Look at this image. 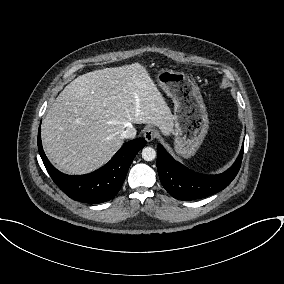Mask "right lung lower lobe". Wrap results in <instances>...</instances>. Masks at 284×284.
I'll use <instances>...</instances> for the list:
<instances>
[{
  "mask_svg": "<svg viewBox=\"0 0 284 284\" xmlns=\"http://www.w3.org/2000/svg\"><path fill=\"white\" fill-rule=\"evenodd\" d=\"M37 141L42 161L55 184L73 200L92 204L109 201L118 193L134 157L146 145L144 138L129 141L100 169L70 176L58 171L47 159L42 149L40 127Z\"/></svg>",
  "mask_w": 284,
  "mask_h": 284,
  "instance_id": "obj_1",
  "label": "right lung lower lobe"
}]
</instances>
